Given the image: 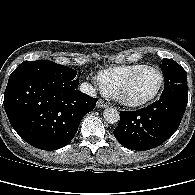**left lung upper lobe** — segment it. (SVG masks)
<instances>
[{
  "mask_svg": "<svg viewBox=\"0 0 195 195\" xmlns=\"http://www.w3.org/2000/svg\"><path fill=\"white\" fill-rule=\"evenodd\" d=\"M161 69L165 79V84L187 83L186 71L174 60L164 58Z\"/></svg>",
  "mask_w": 195,
  "mask_h": 195,
  "instance_id": "5c2ea615",
  "label": "left lung upper lobe"
}]
</instances>
